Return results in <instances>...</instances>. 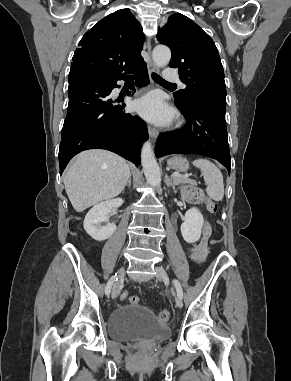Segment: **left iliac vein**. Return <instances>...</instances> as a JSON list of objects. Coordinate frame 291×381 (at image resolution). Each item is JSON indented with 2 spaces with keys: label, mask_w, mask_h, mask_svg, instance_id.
Returning <instances> with one entry per match:
<instances>
[{
  "label": "left iliac vein",
  "mask_w": 291,
  "mask_h": 381,
  "mask_svg": "<svg viewBox=\"0 0 291 381\" xmlns=\"http://www.w3.org/2000/svg\"><path fill=\"white\" fill-rule=\"evenodd\" d=\"M155 270H156V277L158 280L168 282L167 272L162 267H155ZM175 303L177 307L181 308L183 306L182 298L176 295Z\"/></svg>",
  "instance_id": "obj_1"
}]
</instances>
